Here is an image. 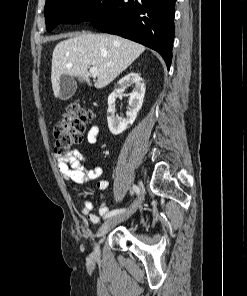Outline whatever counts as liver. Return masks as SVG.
I'll return each mask as SVG.
<instances>
[{
    "label": "liver",
    "mask_w": 247,
    "mask_h": 296,
    "mask_svg": "<svg viewBox=\"0 0 247 296\" xmlns=\"http://www.w3.org/2000/svg\"><path fill=\"white\" fill-rule=\"evenodd\" d=\"M69 36L55 46L52 55L51 83L55 97H59L62 75L81 77L91 86L88 69L95 66L94 86L101 89L145 51L143 45L116 35L86 33Z\"/></svg>",
    "instance_id": "1"
}]
</instances>
